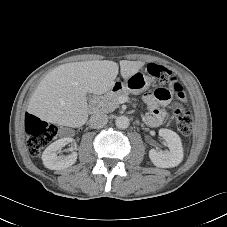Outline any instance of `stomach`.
I'll return each instance as SVG.
<instances>
[{"label": "stomach", "instance_id": "obj_1", "mask_svg": "<svg viewBox=\"0 0 227 227\" xmlns=\"http://www.w3.org/2000/svg\"><path fill=\"white\" fill-rule=\"evenodd\" d=\"M153 81V77L148 76L141 71H138L127 78L124 82H116L112 89H121L126 90L132 94H140L146 91Z\"/></svg>", "mask_w": 227, "mask_h": 227}]
</instances>
